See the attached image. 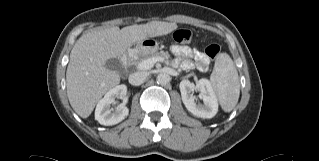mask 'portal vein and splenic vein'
Returning <instances> with one entry per match:
<instances>
[{"label": "portal vein and splenic vein", "instance_id": "1", "mask_svg": "<svg viewBox=\"0 0 319 161\" xmlns=\"http://www.w3.org/2000/svg\"><path fill=\"white\" fill-rule=\"evenodd\" d=\"M164 61L161 57H152L140 62L137 66L139 70H149L155 63Z\"/></svg>", "mask_w": 319, "mask_h": 161}]
</instances>
